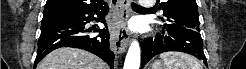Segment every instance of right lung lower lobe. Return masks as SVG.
Returning <instances> with one entry per match:
<instances>
[{"label": "right lung lower lobe", "mask_w": 246, "mask_h": 69, "mask_svg": "<svg viewBox=\"0 0 246 69\" xmlns=\"http://www.w3.org/2000/svg\"><path fill=\"white\" fill-rule=\"evenodd\" d=\"M108 6L86 10H56L44 13L41 23V35L38 42V51L34 67L48 53L59 47H76L90 51L110 67L113 66L115 55L109 48V32L104 29L88 28L86 24L96 18H102ZM91 32L99 35L92 36Z\"/></svg>", "instance_id": "1"}]
</instances>
